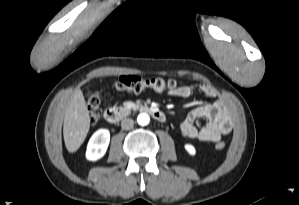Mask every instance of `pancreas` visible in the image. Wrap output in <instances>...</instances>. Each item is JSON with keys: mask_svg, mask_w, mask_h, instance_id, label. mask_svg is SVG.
I'll list each match as a JSON object with an SVG mask.
<instances>
[{"mask_svg": "<svg viewBox=\"0 0 299 205\" xmlns=\"http://www.w3.org/2000/svg\"><path fill=\"white\" fill-rule=\"evenodd\" d=\"M140 104H135L134 102L132 101H125L123 102V108L126 109V110H129V109H137L139 107Z\"/></svg>", "mask_w": 299, "mask_h": 205, "instance_id": "1", "label": "pancreas"}]
</instances>
